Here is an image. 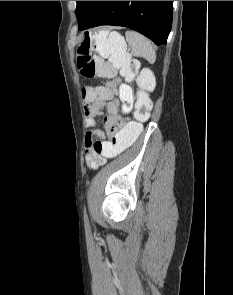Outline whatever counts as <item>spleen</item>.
Returning <instances> with one entry per match:
<instances>
[{
  "mask_svg": "<svg viewBox=\"0 0 233 295\" xmlns=\"http://www.w3.org/2000/svg\"><path fill=\"white\" fill-rule=\"evenodd\" d=\"M126 41L132 48V55L143 57L150 63L156 59L155 49L151 41L142 34L135 31H126ZM126 41L116 31L101 32L97 37L98 50L101 56L109 58V61L117 67L124 66V57L126 56Z\"/></svg>",
  "mask_w": 233,
  "mask_h": 295,
  "instance_id": "1",
  "label": "spleen"
}]
</instances>
